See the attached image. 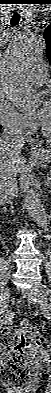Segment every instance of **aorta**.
Here are the masks:
<instances>
[{
    "label": "aorta",
    "mask_w": 51,
    "mask_h": 393,
    "mask_svg": "<svg viewBox=\"0 0 51 393\" xmlns=\"http://www.w3.org/2000/svg\"><path fill=\"white\" fill-rule=\"evenodd\" d=\"M45 49V40L38 35H19L8 46L4 59V90L23 111L32 110L37 105V97L25 81L24 73L43 57ZM24 205L32 219L46 229L48 217L40 195L29 187H24ZM44 241L51 243V236H46Z\"/></svg>",
    "instance_id": "obj_1"
}]
</instances>
